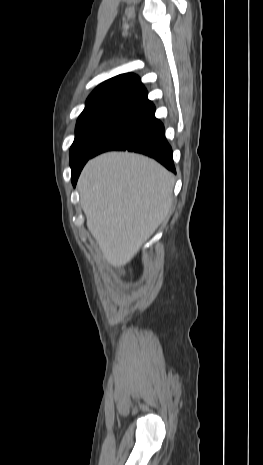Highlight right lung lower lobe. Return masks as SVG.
<instances>
[{
    "mask_svg": "<svg viewBox=\"0 0 263 465\" xmlns=\"http://www.w3.org/2000/svg\"><path fill=\"white\" fill-rule=\"evenodd\" d=\"M111 150H128L145 154L175 172L172 149L165 138L164 126L155 118V107L147 96L107 133L92 157ZM83 166L72 170L71 179L74 186Z\"/></svg>",
    "mask_w": 263,
    "mask_h": 465,
    "instance_id": "right-lung-lower-lobe-1",
    "label": "right lung lower lobe"
}]
</instances>
